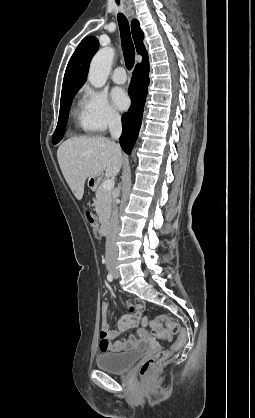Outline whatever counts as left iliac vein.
I'll return each mask as SVG.
<instances>
[{"label": "left iliac vein", "mask_w": 255, "mask_h": 418, "mask_svg": "<svg viewBox=\"0 0 255 418\" xmlns=\"http://www.w3.org/2000/svg\"><path fill=\"white\" fill-rule=\"evenodd\" d=\"M118 277V272H115V278H117Z\"/></svg>", "instance_id": "1"}]
</instances>
